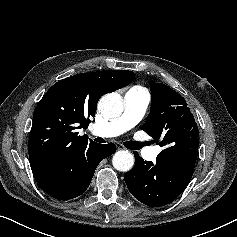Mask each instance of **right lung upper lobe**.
Returning a JSON list of instances; mask_svg holds the SVG:
<instances>
[{
    "label": "right lung upper lobe",
    "mask_w": 237,
    "mask_h": 237,
    "mask_svg": "<svg viewBox=\"0 0 237 237\" xmlns=\"http://www.w3.org/2000/svg\"><path fill=\"white\" fill-rule=\"evenodd\" d=\"M135 77L128 70L80 73L55 83L33 114L28 152L32 171L56 164L82 145H88L77 129L88 126L99 98L126 86Z\"/></svg>",
    "instance_id": "right-lung-upper-lobe-1"
}]
</instances>
